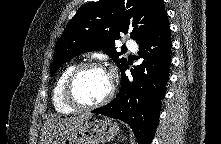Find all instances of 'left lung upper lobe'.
Returning a JSON list of instances; mask_svg holds the SVG:
<instances>
[{
	"label": "left lung upper lobe",
	"instance_id": "1",
	"mask_svg": "<svg viewBox=\"0 0 221 144\" xmlns=\"http://www.w3.org/2000/svg\"><path fill=\"white\" fill-rule=\"evenodd\" d=\"M165 14L163 0H100L80 7L56 46L51 76L69 59L91 50L106 52L121 70L127 60L115 49L120 33L130 32L138 43Z\"/></svg>",
	"mask_w": 221,
	"mask_h": 144
}]
</instances>
